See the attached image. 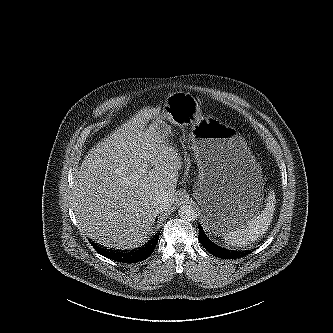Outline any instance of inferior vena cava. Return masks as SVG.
<instances>
[{"label": "inferior vena cava", "mask_w": 333, "mask_h": 333, "mask_svg": "<svg viewBox=\"0 0 333 333\" xmlns=\"http://www.w3.org/2000/svg\"><path fill=\"white\" fill-rule=\"evenodd\" d=\"M154 207L157 213L168 210L170 207L169 200L163 196H158L155 198Z\"/></svg>", "instance_id": "inferior-vena-cava-1"}]
</instances>
